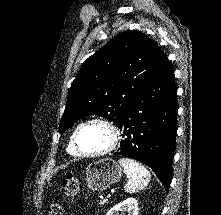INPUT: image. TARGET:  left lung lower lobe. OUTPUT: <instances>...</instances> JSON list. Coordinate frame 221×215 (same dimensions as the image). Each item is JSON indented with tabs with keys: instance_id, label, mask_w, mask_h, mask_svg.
<instances>
[{
	"instance_id": "1",
	"label": "left lung lower lobe",
	"mask_w": 221,
	"mask_h": 215,
	"mask_svg": "<svg viewBox=\"0 0 221 215\" xmlns=\"http://www.w3.org/2000/svg\"><path fill=\"white\" fill-rule=\"evenodd\" d=\"M177 88L168 58L131 102L118 128L119 151L155 172L166 192L171 182L177 132Z\"/></svg>"
}]
</instances>
